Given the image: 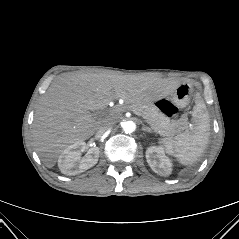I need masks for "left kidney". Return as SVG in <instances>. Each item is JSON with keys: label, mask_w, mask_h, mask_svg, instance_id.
<instances>
[{"label": "left kidney", "mask_w": 239, "mask_h": 239, "mask_svg": "<svg viewBox=\"0 0 239 239\" xmlns=\"http://www.w3.org/2000/svg\"><path fill=\"white\" fill-rule=\"evenodd\" d=\"M147 163L160 176H169L172 171L171 160L162 147L151 146L146 150Z\"/></svg>", "instance_id": "left-kidney-1"}]
</instances>
